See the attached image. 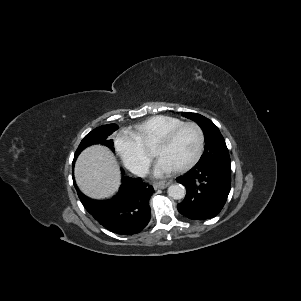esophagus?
<instances>
[{
  "label": "esophagus",
  "mask_w": 301,
  "mask_h": 301,
  "mask_svg": "<svg viewBox=\"0 0 301 301\" xmlns=\"http://www.w3.org/2000/svg\"><path fill=\"white\" fill-rule=\"evenodd\" d=\"M173 182V180H167V181H162V182H158L155 183L153 185L154 189H164L166 188L168 185H170Z\"/></svg>",
  "instance_id": "obj_1"
}]
</instances>
